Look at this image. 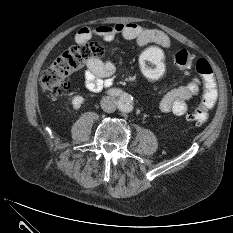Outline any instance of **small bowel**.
Returning a JSON list of instances; mask_svg holds the SVG:
<instances>
[{
	"mask_svg": "<svg viewBox=\"0 0 233 233\" xmlns=\"http://www.w3.org/2000/svg\"><path fill=\"white\" fill-rule=\"evenodd\" d=\"M117 36L126 40H134L139 46L155 44L167 49L171 45L169 37L157 29H145L137 23H117L113 26L84 27L76 34V41L86 43L91 38L97 37L110 42ZM116 71V63L113 57L105 61L97 57H91L86 61L84 74L85 86L89 91L100 92L109 90L113 85V75ZM201 89V80L192 78L186 84L168 91L162 96L159 108L164 113H173L181 116L187 112V101L196 96Z\"/></svg>",
	"mask_w": 233,
	"mask_h": 233,
	"instance_id": "small-bowel-1",
	"label": "small bowel"
}]
</instances>
